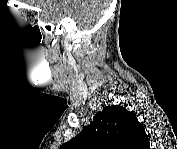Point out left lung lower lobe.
Listing matches in <instances>:
<instances>
[{
  "label": "left lung lower lobe",
  "mask_w": 177,
  "mask_h": 149,
  "mask_svg": "<svg viewBox=\"0 0 177 149\" xmlns=\"http://www.w3.org/2000/svg\"><path fill=\"white\" fill-rule=\"evenodd\" d=\"M142 145L141 147L143 149H149V139H148V136H144V138L142 139Z\"/></svg>",
  "instance_id": "0a47b994"
}]
</instances>
